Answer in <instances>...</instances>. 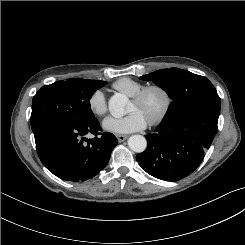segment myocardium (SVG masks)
Returning <instances> with one entry per match:
<instances>
[{"label": "myocardium", "instance_id": "f54148a6", "mask_svg": "<svg viewBox=\"0 0 245 245\" xmlns=\"http://www.w3.org/2000/svg\"><path fill=\"white\" fill-rule=\"evenodd\" d=\"M152 93L160 94L163 99V105L159 113L147 120V123L150 126H155L161 123L166 118L171 109L173 99L169 90L162 85L151 84L143 87L138 93L132 96L131 101H133L137 105H141Z\"/></svg>", "mask_w": 245, "mask_h": 245}]
</instances>
